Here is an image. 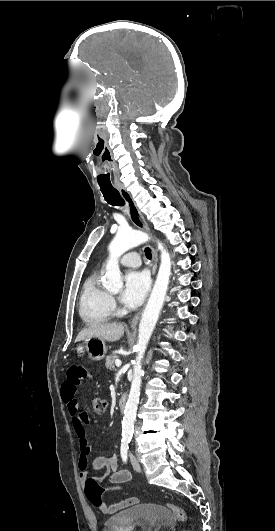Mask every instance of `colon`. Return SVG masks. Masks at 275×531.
Listing matches in <instances>:
<instances>
[{
  "instance_id": "colon-1",
  "label": "colon",
  "mask_w": 275,
  "mask_h": 531,
  "mask_svg": "<svg viewBox=\"0 0 275 531\" xmlns=\"http://www.w3.org/2000/svg\"><path fill=\"white\" fill-rule=\"evenodd\" d=\"M68 372V370H67ZM93 410L95 414H103L106 411V402L102 398L95 397L92 400ZM88 481H93V478H88ZM110 489L113 490H119V485L114 484H108L106 482L103 483H97V482H89L85 485L84 495L88 497V500L92 503V506L94 509L99 510L102 509L103 503L100 500L101 494L108 492ZM169 510L171 511L172 515L180 521H186L187 520V514L186 511L176 505H168Z\"/></svg>"
}]
</instances>
